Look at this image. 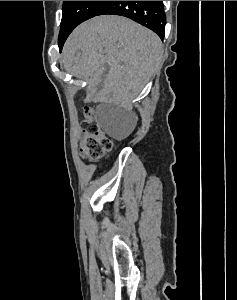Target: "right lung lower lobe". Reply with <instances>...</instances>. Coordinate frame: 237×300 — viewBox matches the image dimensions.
<instances>
[{
	"mask_svg": "<svg viewBox=\"0 0 237 300\" xmlns=\"http://www.w3.org/2000/svg\"><path fill=\"white\" fill-rule=\"evenodd\" d=\"M104 14L128 17L164 38L166 16L162 1H110L96 16Z\"/></svg>",
	"mask_w": 237,
	"mask_h": 300,
	"instance_id": "1",
	"label": "right lung lower lobe"
}]
</instances>
